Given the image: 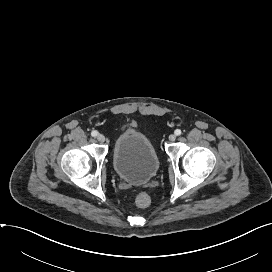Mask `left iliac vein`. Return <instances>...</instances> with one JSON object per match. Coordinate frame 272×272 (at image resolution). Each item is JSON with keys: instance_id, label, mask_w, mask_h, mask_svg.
I'll list each match as a JSON object with an SVG mask.
<instances>
[{"instance_id": "4c4485c4", "label": "left iliac vein", "mask_w": 272, "mask_h": 272, "mask_svg": "<svg viewBox=\"0 0 272 272\" xmlns=\"http://www.w3.org/2000/svg\"><path fill=\"white\" fill-rule=\"evenodd\" d=\"M169 140H170V141H175V140H176V135H175V134H171V135L169 136Z\"/></svg>"}]
</instances>
